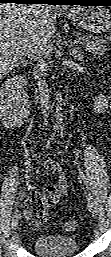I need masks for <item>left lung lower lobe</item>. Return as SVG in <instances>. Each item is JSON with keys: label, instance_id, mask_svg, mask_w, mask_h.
Segmentation results:
<instances>
[{"label": "left lung lower lobe", "instance_id": "0a47b994", "mask_svg": "<svg viewBox=\"0 0 111 257\" xmlns=\"http://www.w3.org/2000/svg\"><path fill=\"white\" fill-rule=\"evenodd\" d=\"M71 5L89 6L101 4L104 6H111V0H71Z\"/></svg>", "mask_w": 111, "mask_h": 257}]
</instances>
